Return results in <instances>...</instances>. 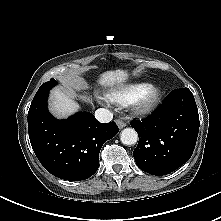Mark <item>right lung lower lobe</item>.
Returning <instances> with one entry per match:
<instances>
[{
  "label": "right lung lower lobe",
  "instance_id": "right-lung-lower-lobe-1",
  "mask_svg": "<svg viewBox=\"0 0 221 221\" xmlns=\"http://www.w3.org/2000/svg\"><path fill=\"white\" fill-rule=\"evenodd\" d=\"M48 93L36 94L28 112L34 153L52 175L69 181L85 180L98 169L102 145L119 129L115 122H98L90 112L55 119L47 109Z\"/></svg>",
  "mask_w": 221,
  "mask_h": 221
}]
</instances>
